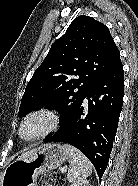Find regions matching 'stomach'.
Here are the masks:
<instances>
[{"mask_svg": "<svg viewBox=\"0 0 138 186\" xmlns=\"http://www.w3.org/2000/svg\"><path fill=\"white\" fill-rule=\"evenodd\" d=\"M68 159L59 144H45L19 157L4 170L0 186H35L38 175L56 169Z\"/></svg>", "mask_w": 138, "mask_h": 186, "instance_id": "stomach-1", "label": "stomach"}]
</instances>
